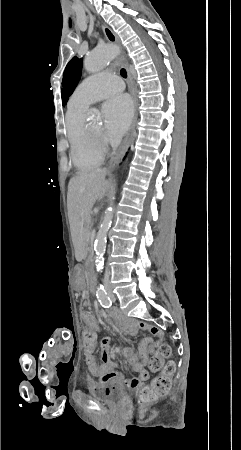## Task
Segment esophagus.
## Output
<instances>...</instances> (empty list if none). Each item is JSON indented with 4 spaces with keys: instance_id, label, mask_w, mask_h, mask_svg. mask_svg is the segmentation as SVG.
<instances>
[{
    "instance_id": "esophagus-1",
    "label": "esophagus",
    "mask_w": 241,
    "mask_h": 450,
    "mask_svg": "<svg viewBox=\"0 0 241 450\" xmlns=\"http://www.w3.org/2000/svg\"><path fill=\"white\" fill-rule=\"evenodd\" d=\"M103 32H104V35H105L106 39L108 40V42L116 43V44L120 43L118 37L115 35V33L108 26H106V25L103 26ZM122 63H123V65L125 66V68L127 70L128 78H129V82H130L131 93H132V98H133V102H134V109H133L134 118H133L132 125H131V127L129 129L128 135L126 136L122 146L120 147V149L116 153V155L113 158V160H111V162L109 164V168L114 167L116 162L119 159H121L125 155L126 151L128 150V147H129V145L131 143V140L133 138V133H134L135 126H136V123H137V118H138L137 90H136V87H135V84H134V81H133V78H132L131 71L129 69L128 62L127 61H123Z\"/></svg>"
}]
</instances>
